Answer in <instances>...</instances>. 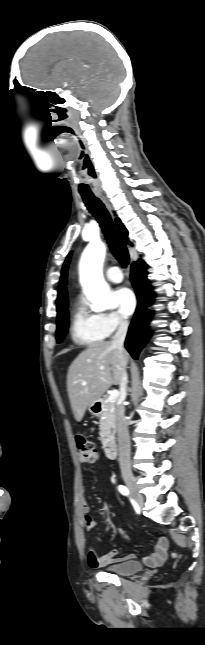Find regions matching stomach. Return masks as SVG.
Masks as SVG:
<instances>
[{
    "mask_svg": "<svg viewBox=\"0 0 205 645\" xmlns=\"http://www.w3.org/2000/svg\"><path fill=\"white\" fill-rule=\"evenodd\" d=\"M99 406H100L99 401H96L88 407V410L93 415H99L100 414Z\"/></svg>",
    "mask_w": 205,
    "mask_h": 645,
    "instance_id": "stomach-1",
    "label": "stomach"
}]
</instances>
